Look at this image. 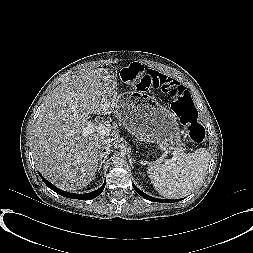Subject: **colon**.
<instances>
[{
	"label": "colon",
	"mask_w": 253,
	"mask_h": 253,
	"mask_svg": "<svg viewBox=\"0 0 253 253\" xmlns=\"http://www.w3.org/2000/svg\"><path fill=\"white\" fill-rule=\"evenodd\" d=\"M147 71L137 63L130 64L122 70V78L129 84H137L145 79ZM166 100L171 103L175 115L186 125L189 138L200 143L205 138V129L197 121V109L189 92L181 85L173 86L163 90Z\"/></svg>",
	"instance_id": "obj_1"
}]
</instances>
